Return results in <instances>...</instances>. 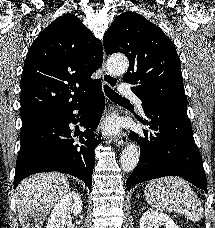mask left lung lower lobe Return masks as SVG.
Returning a JSON list of instances; mask_svg holds the SVG:
<instances>
[{
  "label": "left lung lower lobe",
  "instance_id": "left-lung-lower-lobe-1",
  "mask_svg": "<svg viewBox=\"0 0 215 228\" xmlns=\"http://www.w3.org/2000/svg\"><path fill=\"white\" fill-rule=\"evenodd\" d=\"M149 125L144 138L131 132L129 138L140 145L137 167L127 179L126 186L164 177L179 176L207 193L206 175L199 150L195 144L187 106H143Z\"/></svg>",
  "mask_w": 215,
  "mask_h": 228
}]
</instances>
